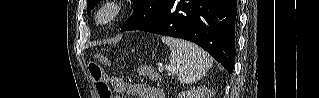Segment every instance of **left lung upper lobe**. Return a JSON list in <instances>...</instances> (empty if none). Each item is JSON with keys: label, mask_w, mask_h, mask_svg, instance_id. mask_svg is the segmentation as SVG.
Segmentation results:
<instances>
[{"label": "left lung upper lobe", "mask_w": 319, "mask_h": 98, "mask_svg": "<svg viewBox=\"0 0 319 98\" xmlns=\"http://www.w3.org/2000/svg\"><path fill=\"white\" fill-rule=\"evenodd\" d=\"M98 0H87V14L90 15ZM134 11L122 25L121 31L137 30L152 21L159 13L164 0H133Z\"/></svg>", "instance_id": "obj_1"}]
</instances>
